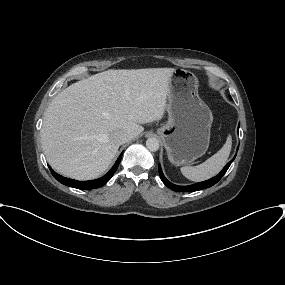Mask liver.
<instances>
[{
	"label": "liver",
	"instance_id": "obj_1",
	"mask_svg": "<svg viewBox=\"0 0 285 285\" xmlns=\"http://www.w3.org/2000/svg\"><path fill=\"white\" fill-rule=\"evenodd\" d=\"M173 68L107 70L78 81L53 98L44 114L41 142L48 163L70 178L102 175L119 149L112 134L128 141L141 124L163 117Z\"/></svg>",
	"mask_w": 285,
	"mask_h": 285
}]
</instances>
